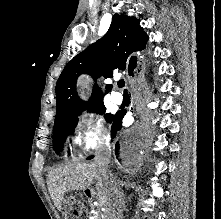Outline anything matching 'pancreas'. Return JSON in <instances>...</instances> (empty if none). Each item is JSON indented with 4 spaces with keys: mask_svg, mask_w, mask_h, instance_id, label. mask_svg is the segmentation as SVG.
I'll return each mask as SVG.
<instances>
[{
    "mask_svg": "<svg viewBox=\"0 0 221 219\" xmlns=\"http://www.w3.org/2000/svg\"><path fill=\"white\" fill-rule=\"evenodd\" d=\"M93 216L94 219H101L99 212H96Z\"/></svg>",
    "mask_w": 221,
    "mask_h": 219,
    "instance_id": "pancreas-1",
    "label": "pancreas"
}]
</instances>
